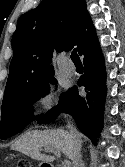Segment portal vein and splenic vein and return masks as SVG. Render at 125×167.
I'll list each match as a JSON object with an SVG mask.
<instances>
[{"instance_id":"18ae733b","label":"portal vein and splenic vein","mask_w":125,"mask_h":167,"mask_svg":"<svg viewBox=\"0 0 125 167\" xmlns=\"http://www.w3.org/2000/svg\"><path fill=\"white\" fill-rule=\"evenodd\" d=\"M45 151L53 152L58 157H60V155H61L60 151L53 148V147H45ZM70 166H71V162L69 160H64L62 162V167H70Z\"/></svg>"}]
</instances>
